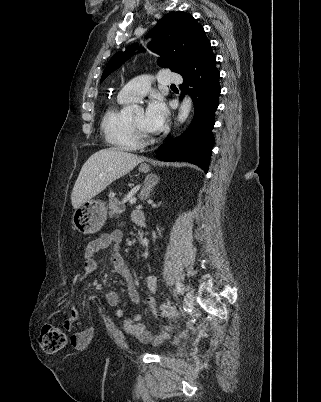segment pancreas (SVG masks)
Instances as JSON below:
<instances>
[{"mask_svg":"<svg viewBox=\"0 0 321 402\" xmlns=\"http://www.w3.org/2000/svg\"><path fill=\"white\" fill-rule=\"evenodd\" d=\"M109 216L118 218L122 212L125 211V204L121 203L118 199L112 197L109 202Z\"/></svg>","mask_w":321,"mask_h":402,"instance_id":"pancreas-1","label":"pancreas"}]
</instances>
